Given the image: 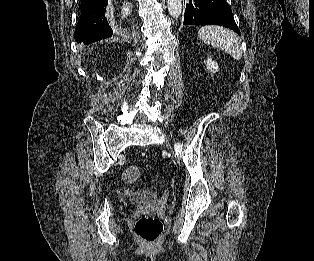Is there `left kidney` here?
<instances>
[{
  "label": "left kidney",
  "mask_w": 314,
  "mask_h": 261,
  "mask_svg": "<svg viewBox=\"0 0 314 261\" xmlns=\"http://www.w3.org/2000/svg\"><path fill=\"white\" fill-rule=\"evenodd\" d=\"M206 65H207V68L208 70L211 72V73H216L218 71V64L217 62L215 61H212L211 58H208L207 61H206Z\"/></svg>",
  "instance_id": "obj_1"
}]
</instances>
